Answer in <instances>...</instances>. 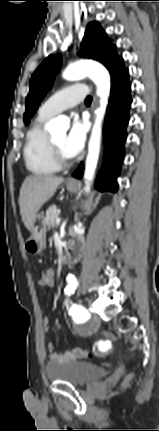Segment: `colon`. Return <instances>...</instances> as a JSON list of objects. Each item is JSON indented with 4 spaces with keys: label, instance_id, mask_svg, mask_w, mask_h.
Returning a JSON list of instances; mask_svg holds the SVG:
<instances>
[{
    "label": "colon",
    "instance_id": "colon-1",
    "mask_svg": "<svg viewBox=\"0 0 159 431\" xmlns=\"http://www.w3.org/2000/svg\"><path fill=\"white\" fill-rule=\"evenodd\" d=\"M50 266L53 268V271L51 272L52 276L49 279H46V280L49 283V288L51 290H54L57 287V284L55 283L56 279L53 277L54 276V271L56 270V267L53 264H50ZM90 356H91L90 353H88L86 350H83L82 358H86V357H90Z\"/></svg>",
    "mask_w": 159,
    "mask_h": 431
}]
</instances>
